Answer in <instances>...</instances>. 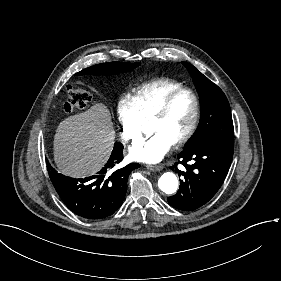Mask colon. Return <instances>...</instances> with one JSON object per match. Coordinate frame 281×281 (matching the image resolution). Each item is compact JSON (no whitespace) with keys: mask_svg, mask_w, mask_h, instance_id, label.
Returning <instances> with one entry per match:
<instances>
[{"mask_svg":"<svg viewBox=\"0 0 281 281\" xmlns=\"http://www.w3.org/2000/svg\"><path fill=\"white\" fill-rule=\"evenodd\" d=\"M91 101L89 92L74 87L68 89V99L65 101L63 108L67 113H72L77 109L86 107Z\"/></svg>","mask_w":281,"mask_h":281,"instance_id":"5ec220e1","label":"colon"}]
</instances>
